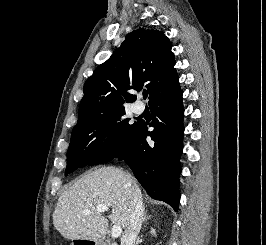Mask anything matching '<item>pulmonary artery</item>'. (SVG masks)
<instances>
[{"label":"pulmonary artery","instance_id":"pulmonary-artery-1","mask_svg":"<svg viewBox=\"0 0 266 245\" xmlns=\"http://www.w3.org/2000/svg\"><path fill=\"white\" fill-rule=\"evenodd\" d=\"M145 109V106L143 103H135L133 105V111L136 113V114H141Z\"/></svg>","mask_w":266,"mask_h":245}]
</instances>
